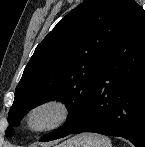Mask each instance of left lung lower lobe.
<instances>
[{"mask_svg": "<svg viewBox=\"0 0 145 147\" xmlns=\"http://www.w3.org/2000/svg\"><path fill=\"white\" fill-rule=\"evenodd\" d=\"M94 132L145 147V12L134 0L78 125L69 134Z\"/></svg>", "mask_w": 145, "mask_h": 147, "instance_id": "left-lung-lower-lobe-1", "label": "left lung lower lobe"}]
</instances>
